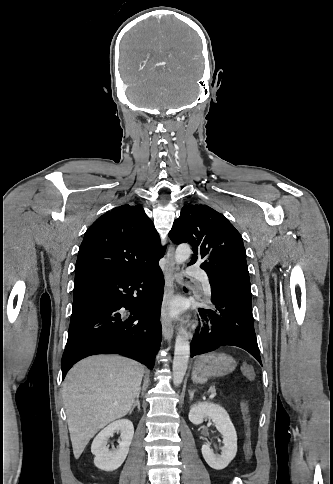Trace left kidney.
<instances>
[{"label":"left kidney","mask_w":333,"mask_h":484,"mask_svg":"<svg viewBox=\"0 0 333 484\" xmlns=\"http://www.w3.org/2000/svg\"><path fill=\"white\" fill-rule=\"evenodd\" d=\"M211 419L223 438L224 446L221 454H215L210 445H202V455L206 463L213 469L221 470L228 466L237 453V434L227 411L220 405L210 402H199L191 406L189 420L199 425L204 418Z\"/></svg>","instance_id":"1"}]
</instances>
